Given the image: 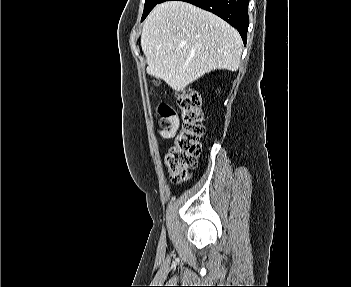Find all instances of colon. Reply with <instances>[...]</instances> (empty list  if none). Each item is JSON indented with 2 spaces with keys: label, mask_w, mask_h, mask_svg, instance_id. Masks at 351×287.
I'll return each mask as SVG.
<instances>
[{
  "label": "colon",
  "mask_w": 351,
  "mask_h": 287,
  "mask_svg": "<svg viewBox=\"0 0 351 287\" xmlns=\"http://www.w3.org/2000/svg\"><path fill=\"white\" fill-rule=\"evenodd\" d=\"M178 104L182 126L165 158L171 181L176 185L189 179V171L196 165L200 153V138L205 130L201 99L196 90L184 89L178 96ZM158 112L162 126L168 127L175 117L173 109L168 104L161 103Z\"/></svg>",
  "instance_id": "1"
}]
</instances>
